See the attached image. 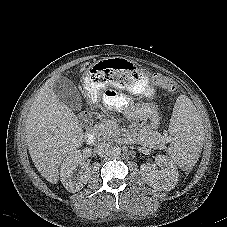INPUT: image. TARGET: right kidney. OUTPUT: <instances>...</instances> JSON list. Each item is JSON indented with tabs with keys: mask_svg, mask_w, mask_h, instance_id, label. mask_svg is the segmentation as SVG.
Returning <instances> with one entry per match:
<instances>
[{
	"mask_svg": "<svg viewBox=\"0 0 227 227\" xmlns=\"http://www.w3.org/2000/svg\"><path fill=\"white\" fill-rule=\"evenodd\" d=\"M78 167L80 168L77 169ZM90 170L89 164L82 160L80 151L75 150L67 155L61 164V182L69 192H77L87 184Z\"/></svg>",
	"mask_w": 227,
	"mask_h": 227,
	"instance_id": "right-kidney-1",
	"label": "right kidney"
}]
</instances>
